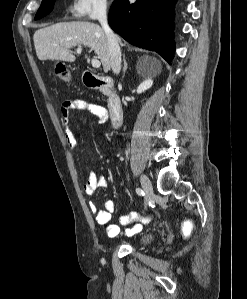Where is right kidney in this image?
<instances>
[{
    "label": "right kidney",
    "instance_id": "ca27d5eb",
    "mask_svg": "<svg viewBox=\"0 0 247 299\" xmlns=\"http://www.w3.org/2000/svg\"><path fill=\"white\" fill-rule=\"evenodd\" d=\"M153 85V80L151 78L145 79L137 88V93L140 94L149 88H151Z\"/></svg>",
    "mask_w": 247,
    "mask_h": 299
}]
</instances>
